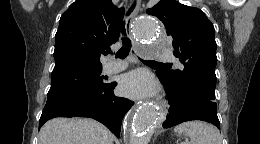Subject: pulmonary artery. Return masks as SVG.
I'll return each instance as SVG.
<instances>
[{
  "label": "pulmonary artery",
  "instance_id": "1",
  "mask_svg": "<svg viewBox=\"0 0 260 144\" xmlns=\"http://www.w3.org/2000/svg\"><path fill=\"white\" fill-rule=\"evenodd\" d=\"M173 57L171 51H163L161 54L157 56L160 60H169ZM177 64L182 67L181 62L177 61ZM127 67V62L125 61H110L104 66V71L107 73L119 72Z\"/></svg>",
  "mask_w": 260,
  "mask_h": 144
}]
</instances>
